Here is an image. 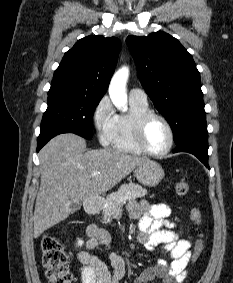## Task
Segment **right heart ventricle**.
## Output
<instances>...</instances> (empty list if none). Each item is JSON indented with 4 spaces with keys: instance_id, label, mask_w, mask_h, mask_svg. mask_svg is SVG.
<instances>
[{
    "instance_id": "e07e8e85",
    "label": "right heart ventricle",
    "mask_w": 233,
    "mask_h": 283,
    "mask_svg": "<svg viewBox=\"0 0 233 283\" xmlns=\"http://www.w3.org/2000/svg\"><path fill=\"white\" fill-rule=\"evenodd\" d=\"M131 111L127 114L117 115L114 127L112 146L115 150L140 155L143 152L136 146L133 138V124L135 119L149 112L148 103L141 104L130 101Z\"/></svg>"
}]
</instances>
